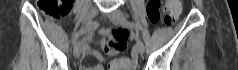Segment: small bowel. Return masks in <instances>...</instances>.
Listing matches in <instances>:
<instances>
[{
  "mask_svg": "<svg viewBox=\"0 0 238 70\" xmlns=\"http://www.w3.org/2000/svg\"><path fill=\"white\" fill-rule=\"evenodd\" d=\"M103 35H104V40L102 41V45H103L104 50L107 52V54L114 55L118 51H120V50L109 45L108 42L112 38H111L108 30L103 31ZM83 52L85 55H93L98 60V63H96L93 67H87V66L83 65L81 67V70H104L105 59L98 51H96L92 48L91 42L88 41V42L84 43Z\"/></svg>",
  "mask_w": 238,
  "mask_h": 70,
  "instance_id": "obj_1",
  "label": "small bowel"
}]
</instances>
